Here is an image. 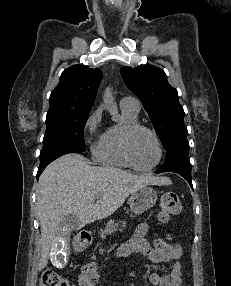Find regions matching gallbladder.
<instances>
[{"label": "gallbladder", "instance_id": "obj_1", "mask_svg": "<svg viewBox=\"0 0 231 286\" xmlns=\"http://www.w3.org/2000/svg\"><path fill=\"white\" fill-rule=\"evenodd\" d=\"M80 226V220L75 213L66 214V216L62 219L58 224V230L60 233L58 236H55L51 242L52 247H50V258L51 263L57 268L66 267L68 263V259L70 258V241L69 237H71L69 231L73 229H78Z\"/></svg>", "mask_w": 231, "mask_h": 286}]
</instances>
